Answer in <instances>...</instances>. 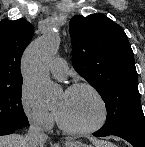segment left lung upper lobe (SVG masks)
I'll return each instance as SVG.
<instances>
[{
  "label": "left lung upper lobe",
  "mask_w": 145,
  "mask_h": 147,
  "mask_svg": "<svg viewBox=\"0 0 145 147\" xmlns=\"http://www.w3.org/2000/svg\"><path fill=\"white\" fill-rule=\"evenodd\" d=\"M69 31L74 69L106 105V123L100 130H145L133 51L123 28L103 14H91L74 16Z\"/></svg>",
  "instance_id": "left-lung-upper-lobe-1"
}]
</instances>
